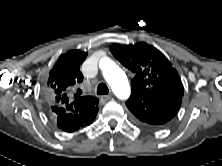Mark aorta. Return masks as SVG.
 Wrapping results in <instances>:
<instances>
[{
  "label": "aorta",
  "mask_w": 222,
  "mask_h": 166,
  "mask_svg": "<svg viewBox=\"0 0 222 166\" xmlns=\"http://www.w3.org/2000/svg\"><path fill=\"white\" fill-rule=\"evenodd\" d=\"M99 66L115 95L120 99H127L130 95V86L123 70L109 58L101 59Z\"/></svg>",
  "instance_id": "762f6f07"
}]
</instances>
